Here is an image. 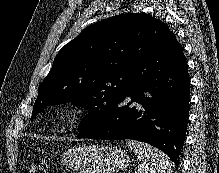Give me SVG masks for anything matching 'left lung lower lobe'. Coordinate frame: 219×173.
Segmentation results:
<instances>
[{
	"label": "left lung lower lobe",
	"instance_id": "left-lung-lower-lobe-1",
	"mask_svg": "<svg viewBox=\"0 0 219 173\" xmlns=\"http://www.w3.org/2000/svg\"><path fill=\"white\" fill-rule=\"evenodd\" d=\"M190 78L183 48L171 32L133 69L131 90L95 132L78 138L147 142L179 164L189 117Z\"/></svg>",
	"mask_w": 219,
	"mask_h": 173
}]
</instances>
